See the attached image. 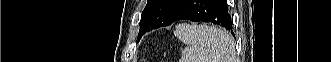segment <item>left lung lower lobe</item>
I'll return each instance as SVG.
<instances>
[{
  "mask_svg": "<svg viewBox=\"0 0 331 62\" xmlns=\"http://www.w3.org/2000/svg\"><path fill=\"white\" fill-rule=\"evenodd\" d=\"M179 20L211 22L233 33L232 19L228 13L226 0H184L163 26H169ZM148 31L150 30L140 29L138 41Z\"/></svg>",
  "mask_w": 331,
  "mask_h": 62,
  "instance_id": "obj_1",
  "label": "left lung lower lobe"
}]
</instances>
